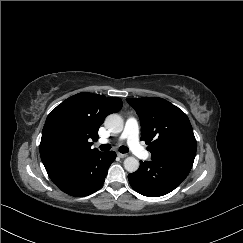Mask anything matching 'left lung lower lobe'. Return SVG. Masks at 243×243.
I'll use <instances>...</instances> for the list:
<instances>
[{
	"label": "left lung lower lobe",
	"instance_id": "obj_1",
	"mask_svg": "<svg viewBox=\"0 0 243 243\" xmlns=\"http://www.w3.org/2000/svg\"><path fill=\"white\" fill-rule=\"evenodd\" d=\"M195 154H174L151 161H140V168L128 175L132 188L148 197L174 190L190 172Z\"/></svg>",
	"mask_w": 243,
	"mask_h": 243
}]
</instances>
